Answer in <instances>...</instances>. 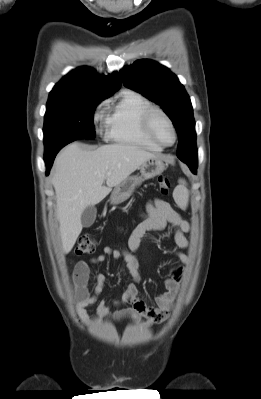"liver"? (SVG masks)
Listing matches in <instances>:
<instances>
[{"mask_svg": "<svg viewBox=\"0 0 261 399\" xmlns=\"http://www.w3.org/2000/svg\"><path fill=\"white\" fill-rule=\"evenodd\" d=\"M158 158L138 146L104 145L84 150L78 143L65 147L56 157L52 184L56 193L57 218L63 251L68 254L82 231L81 215L101 202L145 161ZM106 180V185L103 182Z\"/></svg>", "mask_w": 261, "mask_h": 399, "instance_id": "1", "label": "liver"}]
</instances>
